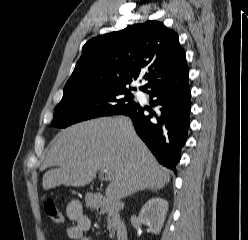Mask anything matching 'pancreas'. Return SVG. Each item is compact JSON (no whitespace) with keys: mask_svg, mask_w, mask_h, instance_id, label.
Here are the masks:
<instances>
[{"mask_svg":"<svg viewBox=\"0 0 248 240\" xmlns=\"http://www.w3.org/2000/svg\"><path fill=\"white\" fill-rule=\"evenodd\" d=\"M107 219H108V222H109L108 229H109L110 236H113L115 234V230L111 226V215H109Z\"/></svg>","mask_w":248,"mask_h":240,"instance_id":"cf45deb5","label":"pancreas"}]
</instances>
